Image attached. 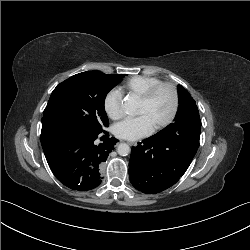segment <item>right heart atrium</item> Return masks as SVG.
Masks as SVG:
<instances>
[{
	"mask_svg": "<svg viewBox=\"0 0 250 250\" xmlns=\"http://www.w3.org/2000/svg\"><path fill=\"white\" fill-rule=\"evenodd\" d=\"M103 109L112 120H118L122 117V95L119 90L112 89L106 93L103 99Z\"/></svg>",
	"mask_w": 250,
	"mask_h": 250,
	"instance_id": "obj_1",
	"label": "right heart atrium"
}]
</instances>
